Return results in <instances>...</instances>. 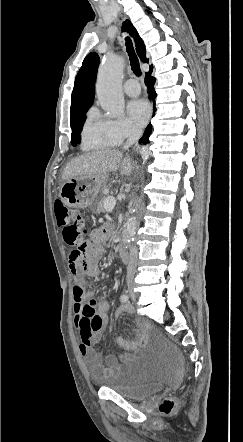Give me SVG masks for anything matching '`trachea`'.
I'll use <instances>...</instances> for the list:
<instances>
[{"label": "trachea", "instance_id": "3493384b", "mask_svg": "<svg viewBox=\"0 0 243 442\" xmlns=\"http://www.w3.org/2000/svg\"><path fill=\"white\" fill-rule=\"evenodd\" d=\"M126 50L129 56L132 71L136 76H141L142 72L140 69L139 59L129 38H126Z\"/></svg>", "mask_w": 243, "mask_h": 442}]
</instances>
